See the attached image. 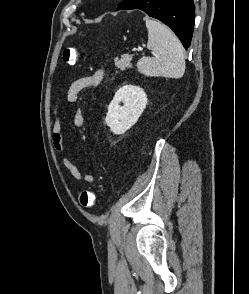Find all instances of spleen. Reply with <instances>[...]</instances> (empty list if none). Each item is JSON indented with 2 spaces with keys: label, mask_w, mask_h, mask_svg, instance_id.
I'll use <instances>...</instances> for the list:
<instances>
[{
  "label": "spleen",
  "mask_w": 249,
  "mask_h": 294,
  "mask_svg": "<svg viewBox=\"0 0 249 294\" xmlns=\"http://www.w3.org/2000/svg\"><path fill=\"white\" fill-rule=\"evenodd\" d=\"M148 49L154 57H142L137 63L138 71L149 77L181 78L185 72L184 49L176 35L165 25L146 18Z\"/></svg>",
  "instance_id": "spleen-1"
}]
</instances>
